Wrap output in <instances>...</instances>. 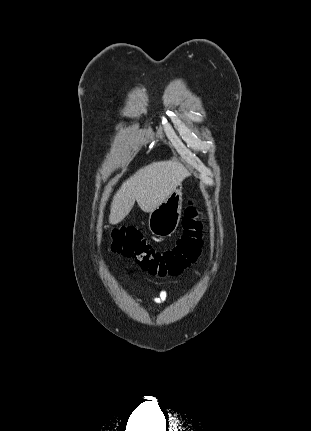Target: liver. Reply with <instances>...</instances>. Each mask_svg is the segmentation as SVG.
Instances as JSON below:
<instances>
[{
	"mask_svg": "<svg viewBox=\"0 0 311 431\" xmlns=\"http://www.w3.org/2000/svg\"><path fill=\"white\" fill-rule=\"evenodd\" d=\"M188 176L190 172L175 160L152 162L149 166L140 168L114 194L109 223H120L130 214L135 202L142 212H153Z\"/></svg>",
	"mask_w": 311,
	"mask_h": 431,
	"instance_id": "6515ba94",
	"label": "liver"
}]
</instances>
